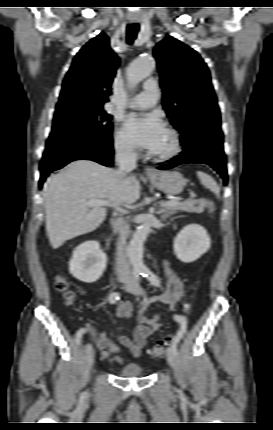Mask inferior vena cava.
<instances>
[{"label":"inferior vena cava","instance_id":"602c4592","mask_svg":"<svg viewBox=\"0 0 273 430\" xmlns=\"http://www.w3.org/2000/svg\"><path fill=\"white\" fill-rule=\"evenodd\" d=\"M118 165V175L125 180L128 173L136 168L137 154L132 149H118L115 155ZM119 238L117 244V274L120 278L132 280V273L126 253V239L129 234V224L122 221L119 225Z\"/></svg>","mask_w":273,"mask_h":430}]
</instances>
